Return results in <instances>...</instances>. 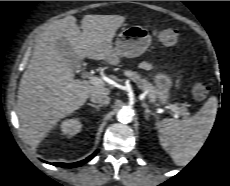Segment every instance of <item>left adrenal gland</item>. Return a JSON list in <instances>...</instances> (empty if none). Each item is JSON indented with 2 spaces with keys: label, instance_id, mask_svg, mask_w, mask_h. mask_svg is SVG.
<instances>
[{
  "label": "left adrenal gland",
  "instance_id": "1",
  "mask_svg": "<svg viewBox=\"0 0 230 186\" xmlns=\"http://www.w3.org/2000/svg\"><path fill=\"white\" fill-rule=\"evenodd\" d=\"M142 106L145 108V119L146 120H149L150 115L155 116V114L151 112V110L149 109V107H148V105L146 103L143 102Z\"/></svg>",
  "mask_w": 230,
  "mask_h": 186
}]
</instances>
